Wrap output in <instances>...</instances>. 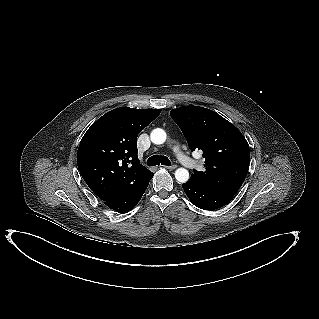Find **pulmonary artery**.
<instances>
[{
	"label": "pulmonary artery",
	"mask_w": 319,
	"mask_h": 319,
	"mask_svg": "<svg viewBox=\"0 0 319 319\" xmlns=\"http://www.w3.org/2000/svg\"><path fill=\"white\" fill-rule=\"evenodd\" d=\"M176 153H177V157L179 159V161L186 167L188 168H194L196 166V162L190 160L189 158H187L181 151H179L178 149H176Z\"/></svg>",
	"instance_id": "obj_1"
}]
</instances>
